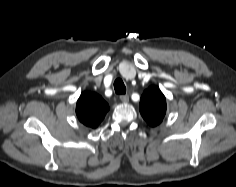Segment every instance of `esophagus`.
<instances>
[{
  "mask_svg": "<svg viewBox=\"0 0 236 187\" xmlns=\"http://www.w3.org/2000/svg\"><path fill=\"white\" fill-rule=\"evenodd\" d=\"M120 100H121L123 103H128V102H129V96H128V95H121V96H120Z\"/></svg>",
  "mask_w": 236,
  "mask_h": 187,
  "instance_id": "1",
  "label": "esophagus"
}]
</instances>
